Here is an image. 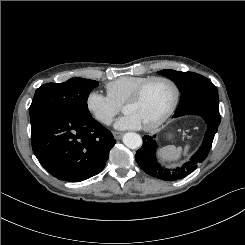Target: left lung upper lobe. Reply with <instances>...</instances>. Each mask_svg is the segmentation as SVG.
Instances as JSON below:
<instances>
[{
  "label": "left lung upper lobe",
  "mask_w": 245,
  "mask_h": 245,
  "mask_svg": "<svg viewBox=\"0 0 245 245\" xmlns=\"http://www.w3.org/2000/svg\"><path fill=\"white\" fill-rule=\"evenodd\" d=\"M158 74L174 81L182 93L175 114L195 104H219L217 88L209 79L202 75L194 72H180L171 69L158 71Z\"/></svg>",
  "instance_id": "5c2ea615"
}]
</instances>
